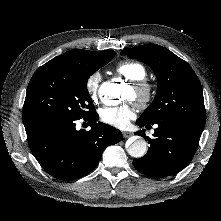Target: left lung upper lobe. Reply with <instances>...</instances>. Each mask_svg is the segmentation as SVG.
I'll list each match as a JSON object with an SVG mask.
<instances>
[{"label": "left lung upper lobe", "mask_w": 221, "mask_h": 221, "mask_svg": "<svg viewBox=\"0 0 221 221\" xmlns=\"http://www.w3.org/2000/svg\"><path fill=\"white\" fill-rule=\"evenodd\" d=\"M121 55L144 62L157 77V94L138 119L154 124L173 120L205 125V108L200 81L190 65L168 49L145 44L124 49Z\"/></svg>", "instance_id": "1"}]
</instances>
